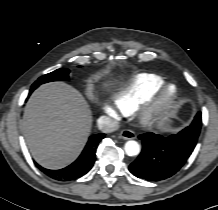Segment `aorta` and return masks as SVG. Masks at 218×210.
Returning <instances> with one entry per match:
<instances>
[{
    "instance_id": "762f6f07",
    "label": "aorta",
    "mask_w": 218,
    "mask_h": 210,
    "mask_svg": "<svg viewBox=\"0 0 218 210\" xmlns=\"http://www.w3.org/2000/svg\"><path fill=\"white\" fill-rule=\"evenodd\" d=\"M124 149L128 156H136L140 153V145L134 140L127 141Z\"/></svg>"
}]
</instances>
